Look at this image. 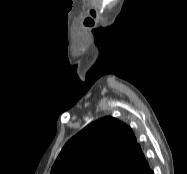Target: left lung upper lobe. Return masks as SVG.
<instances>
[{
	"label": "left lung upper lobe",
	"instance_id": "5c2ea615",
	"mask_svg": "<svg viewBox=\"0 0 187 174\" xmlns=\"http://www.w3.org/2000/svg\"><path fill=\"white\" fill-rule=\"evenodd\" d=\"M149 167L131 128L113 117L92 122L72 137L51 174H134Z\"/></svg>",
	"mask_w": 187,
	"mask_h": 174
}]
</instances>
